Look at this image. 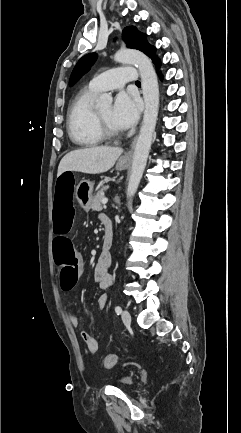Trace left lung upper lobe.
Instances as JSON below:
<instances>
[{
    "mask_svg": "<svg viewBox=\"0 0 241 433\" xmlns=\"http://www.w3.org/2000/svg\"><path fill=\"white\" fill-rule=\"evenodd\" d=\"M123 38L126 41L127 47L137 49L150 57L156 68L161 65L160 60L155 54V47L150 45L146 40V35L140 33L134 26H128L123 30ZM97 55L90 53L82 57L76 64L71 77L70 84L76 82L90 67L94 64Z\"/></svg>",
    "mask_w": 241,
    "mask_h": 433,
    "instance_id": "1",
    "label": "left lung upper lobe"
}]
</instances>
